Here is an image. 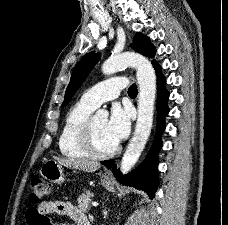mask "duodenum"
<instances>
[{
    "mask_svg": "<svg viewBox=\"0 0 228 225\" xmlns=\"http://www.w3.org/2000/svg\"><path fill=\"white\" fill-rule=\"evenodd\" d=\"M77 225H90L89 221L87 220V218L85 216H82Z\"/></svg>",
    "mask_w": 228,
    "mask_h": 225,
    "instance_id": "410a0bca",
    "label": "duodenum"
}]
</instances>
